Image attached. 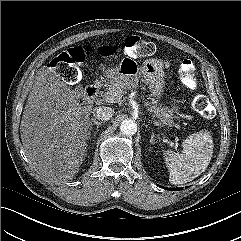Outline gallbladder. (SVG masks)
Instances as JSON below:
<instances>
[{"mask_svg": "<svg viewBox=\"0 0 241 241\" xmlns=\"http://www.w3.org/2000/svg\"><path fill=\"white\" fill-rule=\"evenodd\" d=\"M82 90H83L82 87H79V88H78V91H79L80 93L82 92Z\"/></svg>", "mask_w": 241, "mask_h": 241, "instance_id": "obj_1", "label": "gallbladder"}]
</instances>
